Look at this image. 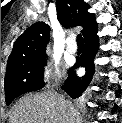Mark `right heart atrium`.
Wrapping results in <instances>:
<instances>
[{
  "mask_svg": "<svg viewBox=\"0 0 122 123\" xmlns=\"http://www.w3.org/2000/svg\"><path fill=\"white\" fill-rule=\"evenodd\" d=\"M60 78V69L58 64L48 62L42 67V79L47 83H56Z\"/></svg>",
  "mask_w": 122,
  "mask_h": 123,
  "instance_id": "d8ad5b80",
  "label": "right heart atrium"
}]
</instances>
